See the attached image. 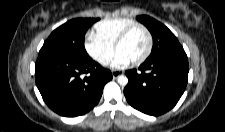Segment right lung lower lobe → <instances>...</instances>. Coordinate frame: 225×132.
I'll use <instances>...</instances> for the list:
<instances>
[{
	"label": "right lung lower lobe",
	"instance_id": "right-lung-lower-lobe-1",
	"mask_svg": "<svg viewBox=\"0 0 225 132\" xmlns=\"http://www.w3.org/2000/svg\"><path fill=\"white\" fill-rule=\"evenodd\" d=\"M35 79L43 100L54 112L76 117L97 105L112 74L89 56L39 52Z\"/></svg>",
	"mask_w": 225,
	"mask_h": 132
}]
</instances>
